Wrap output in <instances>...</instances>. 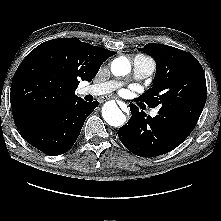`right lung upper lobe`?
<instances>
[{
    "instance_id": "obj_1",
    "label": "right lung upper lobe",
    "mask_w": 221,
    "mask_h": 221,
    "mask_svg": "<svg viewBox=\"0 0 221 221\" xmlns=\"http://www.w3.org/2000/svg\"><path fill=\"white\" fill-rule=\"evenodd\" d=\"M116 52L75 38L46 41L19 65L11 85V107L17 128L27 121L80 100V80L91 81Z\"/></svg>"
}]
</instances>
